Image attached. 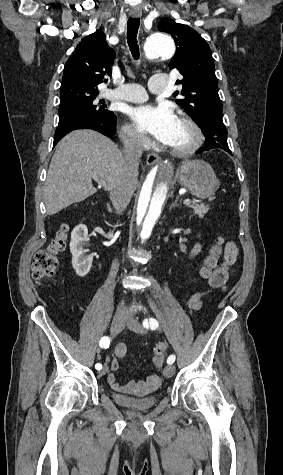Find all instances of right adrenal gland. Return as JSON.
I'll list each match as a JSON object with an SVG mask.
<instances>
[{"label": "right adrenal gland", "mask_w": 283, "mask_h": 475, "mask_svg": "<svg viewBox=\"0 0 283 475\" xmlns=\"http://www.w3.org/2000/svg\"><path fill=\"white\" fill-rule=\"evenodd\" d=\"M107 208H108V210H110V212H111V206H110V204H107Z\"/></svg>", "instance_id": "obj_1"}]
</instances>
